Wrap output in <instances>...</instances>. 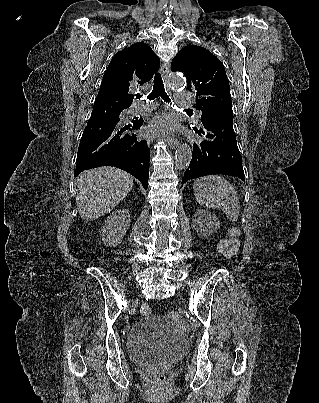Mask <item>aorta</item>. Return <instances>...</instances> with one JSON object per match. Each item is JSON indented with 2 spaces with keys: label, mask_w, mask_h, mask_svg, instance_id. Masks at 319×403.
<instances>
[{
  "label": "aorta",
  "mask_w": 319,
  "mask_h": 403,
  "mask_svg": "<svg viewBox=\"0 0 319 403\" xmlns=\"http://www.w3.org/2000/svg\"><path fill=\"white\" fill-rule=\"evenodd\" d=\"M168 85L173 89H182L185 87V80L176 74L168 78ZM192 158V149L189 144H182L175 153V164L179 169L188 167Z\"/></svg>",
  "instance_id": "1"
}]
</instances>
